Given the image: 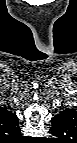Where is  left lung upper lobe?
I'll return each mask as SVG.
<instances>
[{"label": "left lung upper lobe", "instance_id": "obj_1", "mask_svg": "<svg viewBox=\"0 0 77 143\" xmlns=\"http://www.w3.org/2000/svg\"><path fill=\"white\" fill-rule=\"evenodd\" d=\"M72 118L67 121L52 123L51 132L53 135L64 136L68 132V127L71 125Z\"/></svg>", "mask_w": 77, "mask_h": 143}]
</instances>
